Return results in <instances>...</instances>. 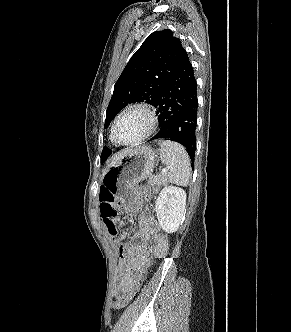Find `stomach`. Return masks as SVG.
Wrapping results in <instances>:
<instances>
[{
    "label": "stomach",
    "mask_w": 291,
    "mask_h": 332,
    "mask_svg": "<svg viewBox=\"0 0 291 332\" xmlns=\"http://www.w3.org/2000/svg\"><path fill=\"white\" fill-rule=\"evenodd\" d=\"M155 152L146 146L137 147L126 153L102 178L107 189L129 211H136L140 204L138 183L153 172Z\"/></svg>",
    "instance_id": "stomach-1"
}]
</instances>
